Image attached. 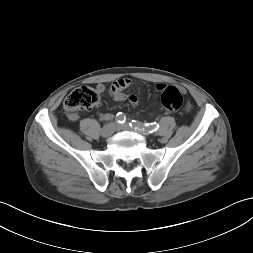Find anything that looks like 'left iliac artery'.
Wrapping results in <instances>:
<instances>
[{"label": "left iliac artery", "mask_w": 253, "mask_h": 253, "mask_svg": "<svg viewBox=\"0 0 253 253\" xmlns=\"http://www.w3.org/2000/svg\"><path fill=\"white\" fill-rule=\"evenodd\" d=\"M129 125L134 128H140L141 130L147 132V133H153L156 132L159 129V124L156 122L154 123H145L142 124L139 121L132 120Z\"/></svg>", "instance_id": "44dca946"}]
</instances>
